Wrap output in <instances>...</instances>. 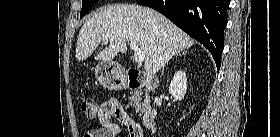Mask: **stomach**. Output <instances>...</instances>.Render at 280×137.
I'll return each mask as SVG.
<instances>
[{"mask_svg": "<svg viewBox=\"0 0 280 137\" xmlns=\"http://www.w3.org/2000/svg\"><path fill=\"white\" fill-rule=\"evenodd\" d=\"M99 83L107 89H119L123 86L124 75L121 67L112 61H102L95 69Z\"/></svg>", "mask_w": 280, "mask_h": 137, "instance_id": "1", "label": "stomach"}]
</instances>
